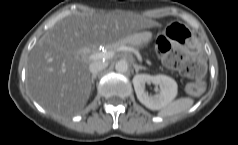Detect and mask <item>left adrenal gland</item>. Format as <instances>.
Returning a JSON list of instances; mask_svg holds the SVG:
<instances>
[{
    "label": "left adrenal gland",
    "mask_w": 238,
    "mask_h": 145,
    "mask_svg": "<svg viewBox=\"0 0 238 145\" xmlns=\"http://www.w3.org/2000/svg\"><path fill=\"white\" fill-rule=\"evenodd\" d=\"M133 67H134L136 73H138L139 70H146L145 67L137 65V64H133Z\"/></svg>",
    "instance_id": "left-adrenal-gland-1"
}]
</instances>
